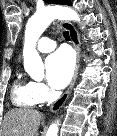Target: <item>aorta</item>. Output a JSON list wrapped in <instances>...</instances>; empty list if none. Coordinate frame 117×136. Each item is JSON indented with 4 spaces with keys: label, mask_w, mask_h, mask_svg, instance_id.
<instances>
[{
    "label": "aorta",
    "mask_w": 117,
    "mask_h": 136,
    "mask_svg": "<svg viewBox=\"0 0 117 136\" xmlns=\"http://www.w3.org/2000/svg\"><path fill=\"white\" fill-rule=\"evenodd\" d=\"M56 19L80 21L79 15L71 8L48 6L37 11L26 24L23 48L24 68L34 79H41L44 74L43 62L36 50V43L46 28ZM58 125V121L52 123L46 136H58Z\"/></svg>",
    "instance_id": "762f6f07"
}]
</instances>
